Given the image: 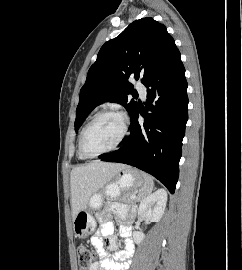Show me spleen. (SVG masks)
<instances>
[{
    "instance_id": "spleen-1",
    "label": "spleen",
    "mask_w": 242,
    "mask_h": 270,
    "mask_svg": "<svg viewBox=\"0 0 242 270\" xmlns=\"http://www.w3.org/2000/svg\"><path fill=\"white\" fill-rule=\"evenodd\" d=\"M142 175L144 178V185L139 192V199H144L146 196H148L152 192L154 186L153 179L150 175L146 173H143Z\"/></svg>"
}]
</instances>
